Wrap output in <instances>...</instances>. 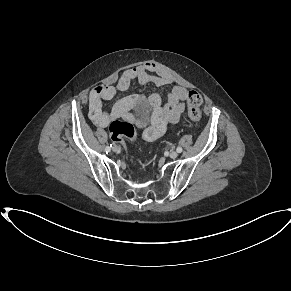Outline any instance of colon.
Returning a JSON list of instances; mask_svg holds the SVG:
<instances>
[{"label": "colon", "mask_w": 291, "mask_h": 291, "mask_svg": "<svg viewBox=\"0 0 291 291\" xmlns=\"http://www.w3.org/2000/svg\"><path fill=\"white\" fill-rule=\"evenodd\" d=\"M202 96L196 91H190L187 95L188 116L191 120L196 121L201 115ZM111 137L114 141L123 144L122 139L125 137L131 141L135 139V128L132 123L122 120H114L110 125Z\"/></svg>", "instance_id": "5ec220e1"}]
</instances>
